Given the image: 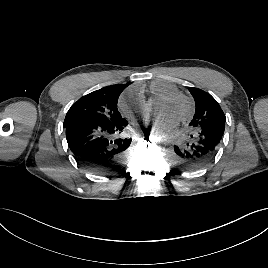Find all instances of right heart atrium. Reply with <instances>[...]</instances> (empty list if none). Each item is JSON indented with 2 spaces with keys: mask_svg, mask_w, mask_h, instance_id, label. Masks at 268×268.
<instances>
[{
  "mask_svg": "<svg viewBox=\"0 0 268 268\" xmlns=\"http://www.w3.org/2000/svg\"><path fill=\"white\" fill-rule=\"evenodd\" d=\"M118 107L120 112L128 118L137 114L143 115L147 112V106L141 92L133 88L126 89L121 94Z\"/></svg>",
  "mask_w": 268,
  "mask_h": 268,
  "instance_id": "d8ad5b80",
  "label": "right heart atrium"
}]
</instances>
